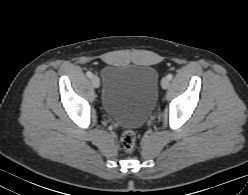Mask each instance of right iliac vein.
Listing matches in <instances>:
<instances>
[{"label": "right iliac vein", "mask_w": 248, "mask_h": 195, "mask_svg": "<svg viewBox=\"0 0 248 195\" xmlns=\"http://www.w3.org/2000/svg\"><path fill=\"white\" fill-rule=\"evenodd\" d=\"M91 82H92V85L95 88H99V86H100V80H99V78L97 76H92Z\"/></svg>", "instance_id": "right-iliac-vein-1"}]
</instances>
